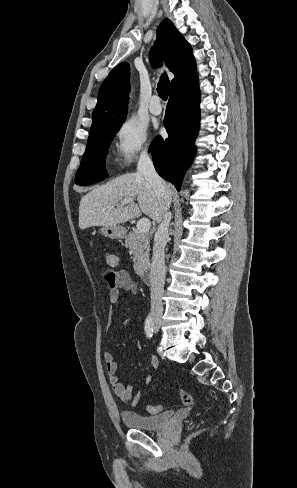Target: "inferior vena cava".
I'll list each match as a JSON object with an SVG mask.
<instances>
[{
  "label": "inferior vena cava",
  "mask_w": 297,
  "mask_h": 488,
  "mask_svg": "<svg viewBox=\"0 0 297 488\" xmlns=\"http://www.w3.org/2000/svg\"><path fill=\"white\" fill-rule=\"evenodd\" d=\"M137 173L142 174L147 182L158 192L163 199L164 215L154 237L153 255L150 273L151 282V315L152 317H161L163 313L162 295L165 282V253L164 249L169 240V224L172 218L169 207L171 197L167 194V185L157 174L153 162L148 155L147 149L143 150L138 164Z\"/></svg>",
  "instance_id": "602c4592"
}]
</instances>
